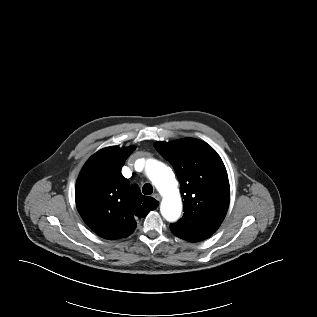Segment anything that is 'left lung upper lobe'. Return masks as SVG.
Listing matches in <instances>:
<instances>
[{"mask_svg":"<svg viewBox=\"0 0 317 317\" xmlns=\"http://www.w3.org/2000/svg\"><path fill=\"white\" fill-rule=\"evenodd\" d=\"M154 147L172 164L184 198V215L172 225L182 228L203 221L221 224L229 206L230 187L216 151L193 138L157 142Z\"/></svg>","mask_w":317,"mask_h":317,"instance_id":"5c2ea615","label":"left lung upper lobe"}]
</instances>
